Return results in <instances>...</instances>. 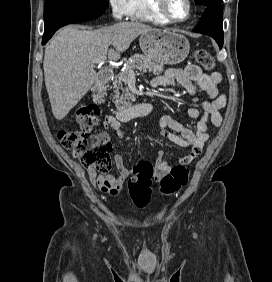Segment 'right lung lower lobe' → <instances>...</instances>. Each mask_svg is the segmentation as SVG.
<instances>
[{"label":"right lung lower lobe","mask_w":272,"mask_h":282,"mask_svg":"<svg viewBox=\"0 0 272 282\" xmlns=\"http://www.w3.org/2000/svg\"><path fill=\"white\" fill-rule=\"evenodd\" d=\"M103 12V10L98 9H82L56 14L45 19L42 44H46L47 41L60 27L65 26L69 23L91 20L102 15Z\"/></svg>","instance_id":"obj_1"}]
</instances>
